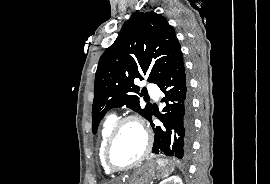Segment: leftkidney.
Wrapping results in <instances>:
<instances>
[{"mask_svg": "<svg viewBox=\"0 0 270 184\" xmlns=\"http://www.w3.org/2000/svg\"><path fill=\"white\" fill-rule=\"evenodd\" d=\"M159 184H183L182 180L178 176H171L163 181H161Z\"/></svg>", "mask_w": 270, "mask_h": 184, "instance_id": "left-kidney-1", "label": "left kidney"}]
</instances>
